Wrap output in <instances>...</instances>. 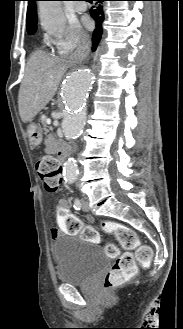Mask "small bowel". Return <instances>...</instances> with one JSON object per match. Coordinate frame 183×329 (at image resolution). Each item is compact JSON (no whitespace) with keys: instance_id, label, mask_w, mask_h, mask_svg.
Returning <instances> with one entry per match:
<instances>
[{"instance_id":"small-bowel-1","label":"small bowel","mask_w":183,"mask_h":329,"mask_svg":"<svg viewBox=\"0 0 183 329\" xmlns=\"http://www.w3.org/2000/svg\"><path fill=\"white\" fill-rule=\"evenodd\" d=\"M48 149H52L53 142L47 141ZM53 215H58L59 228L51 230V237L57 238L61 232H66V236H82V242H99V231L97 225H83L82 220L75 219V212H70L66 200H61L57 203L56 208H53ZM93 221L92 217L87 218Z\"/></svg>"}]
</instances>
